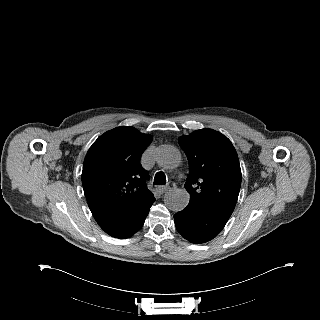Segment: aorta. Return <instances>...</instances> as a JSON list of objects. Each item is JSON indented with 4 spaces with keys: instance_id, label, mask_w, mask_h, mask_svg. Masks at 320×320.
<instances>
[{
    "instance_id": "762f6f07",
    "label": "aorta",
    "mask_w": 320,
    "mask_h": 320,
    "mask_svg": "<svg viewBox=\"0 0 320 320\" xmlns=\"http://www.w3.org/2000/svg\"><path fill=\"white\" fill-rule=\"evenodd\" d=\"M157 163L164 169H175L181 162V154L177 148L171 145H162L155 155ZM189 193L186 190L176 189L165 194V205L172 211L183 210L189 203Z\"/></svg>"
}]
</instances>
